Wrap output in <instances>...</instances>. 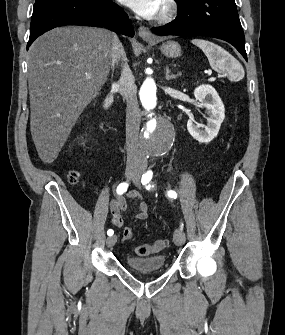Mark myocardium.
I'll return each mask as SVG.
<instances>
[{
    "instance_id": "myocardium-1",
    "label": "myocardium",
    "mask_w": 285,
    "mask_h": 335,
    "mask_svg": "<svg viewBox=\"0 0 285 335\" xmlns=\"http://www.w3.org/2000/svg\"><path fill=\"white\" fill-rule=\"evenodd\" d=\"M177 13L176 1H160V21L171 20Z\"/></svg>"
}]
</instances>
